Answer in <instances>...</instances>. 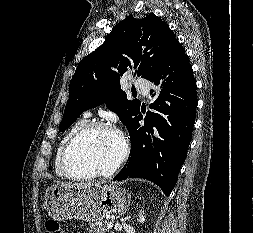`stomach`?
<instances>
[{"label": "stomach", "mask_w": 253, "mask_h": 233, "mask_svg": "<svg viewBox=\"0 0 253 233\" xmlns=\"http://www.w3.org/2000/svg\"><path fill=\"white\" fill-rule=\"evenodd\" d=\"M42 201L48 215L57 221H100L106 215L123 211L127 205L125 192L111 184L80 188L54 184L46 190Z\"/></svg>", "instance_id": "stomach-1"}]
</instances>
